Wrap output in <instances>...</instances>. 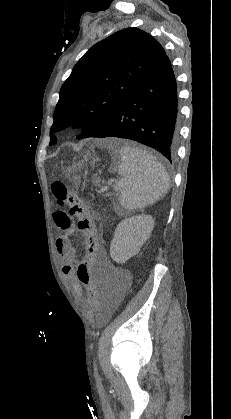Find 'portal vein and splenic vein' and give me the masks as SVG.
I'll list each match as a JSON object with an SVG mask.
<instances>
[{
  "label": "portal vein and splenic vein",
  "mask_w": 231,
  "mask_h": 419,
  "mask_svg": "<svg viewBox=\"0 0 231 419\" xmlns=\"http://www.w3.org/2000/svg\"><path fill=\"white\" fill-rule=\"evenodd\" d=\"M118 187H119V185H118V186H116L115 188H116V189H118Z\"/></svg>",
  "instance_id": "18ae733b"
}]
</instances>
